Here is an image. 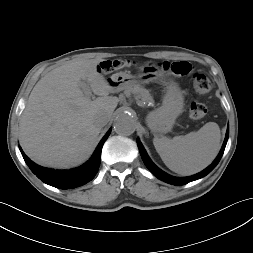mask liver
Instances as JSON below:
<instances>
[{
    "mask_svg": "<svg viewBox=\"0 0 253 253\" xmlns=\"http://www.w3.org/2000/svg\"><path fill=\"white\" fill-rule=\"evenodd\" d=\"M102 59L70 61L53 69L34 86L21 115L19 138L25 153L49 167L68 168L87 159L101 127L97 115L111 117L119 99L97 66ZM86 81L94 94H83Z\"/></svg>",
    "mask_w": 253,
    "mask_h": 253,
    "instance_id": "obj_1",
    "label": "liver"
}]
</instances>
